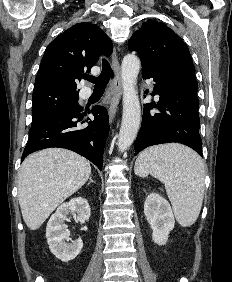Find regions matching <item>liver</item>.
<instances>
[{
    "label": "liver",
    "instance_id": "6515ba94",
    "mask_svg": "<svg viewBox=\"0 0 232 282\" xmlns=\"http://www.w3.org/2000/svg\"><path fill=\"white\" fill-rule=\"evenodd\" d=\"M90 163L66 149L48 148L29 155L18 181V199L26 225L38 229L55 208L89 179Z\"/></svg>",
    "mask_w": 232,
    "mask_h": 282
}]
</instances>
